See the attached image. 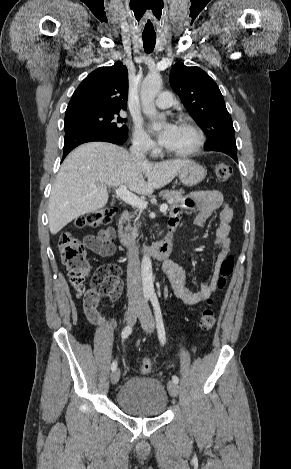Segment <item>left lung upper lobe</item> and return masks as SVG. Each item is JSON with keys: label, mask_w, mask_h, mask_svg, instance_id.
I'll return each mask as SVG.
<instances>
[{"label": "left lung upper lobe", "mask_w": 291, "mask_h": 469, "mask_svg": "<svg viewBox=\"0 0 291 469\" xmlns=\"http://www.w3.org/2000/svg\"><path fill=\"white\" fill-rule=\"evenodd\" d=\"M170 83L192 118L203 129L208 141L204 148L236 146L232 119L215 81L199 67L176 63Z\"/></svg>", "instance_id": "obj_1"}]
</instances>
